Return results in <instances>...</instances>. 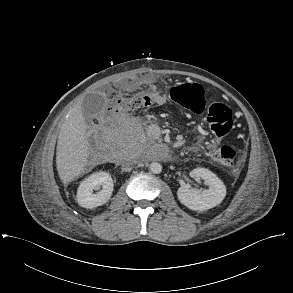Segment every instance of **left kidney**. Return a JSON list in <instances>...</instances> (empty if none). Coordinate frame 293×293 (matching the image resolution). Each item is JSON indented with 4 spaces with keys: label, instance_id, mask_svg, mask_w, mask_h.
<instances>
[{
    "label": "left kidney",
    "instance_id": "obj_1",
    "mask_svg": "<svg viewBox=\"0 0 293 293\" xmlns=\"http://www.w3.org/2000/svg\"><path fill=\"white\" fill-rule=\"evenodd\" d=\"M191 176L201 178L208 189L198 191L181 186L177 191L179 201L191 210L205 211L220 204L226 196V187L216 174L206 168H196Z\"/></svg>",
    "mask_w": 293,
    "mask_h": 293
}]
</instances>
